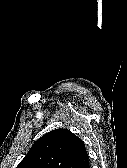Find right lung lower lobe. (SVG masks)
Returning <instances> with one entry per match:
<instances>
[{
    "instance_id": "obj_1",
    "label": "right lung lower lobe",
    "mask_w": 127,
    "mask_h": 168,
    "mask_svg": "<svg viewBox=\"0 0 127 168\" xmlns=\"http://www.w3.org/2000/svg\"><path fill=\"white\" fill-rule=\"evenodd\" d=\"M77 168H90L89 161H85L82 164H80Z\"/></svg>"
}]
</instances>
